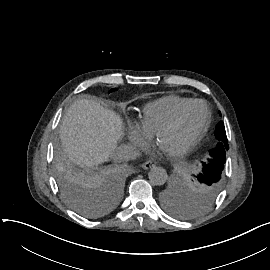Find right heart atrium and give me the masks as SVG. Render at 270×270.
<instances>
[{
    "mask_svg": "<svg viewBox=\"0 0 270 270\" xmlns=\"http://www.w3.org/2000/svg\"><path fill=\"white\" fill-rule=\"evenodd\" d=\"M126 139L133 141L140 151L143 149L152 139V135L143 132L141 129L130 125V129Z\"/></svg>",
    "mask_w": 270,
    "mask_h": 270,
    "instance_id": "obj_1",
    "label": "right heart atrium"
}]
</instances>
